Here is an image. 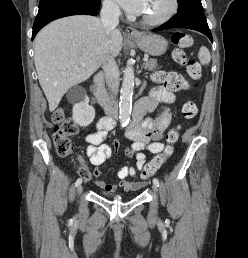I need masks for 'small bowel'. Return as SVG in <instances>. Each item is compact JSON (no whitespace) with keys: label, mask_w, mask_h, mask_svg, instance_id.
I'll return each instance as SVG.
<instances>
[{"label":"small bowel","mask_w":248,"mask_h":258,"mask_svg":"<svg viewBox=\"0 0 248 258\" xmlns=\"http://www.w3.org/2000/svg\"><path fill=\"white\" fill-rule=\"evenodd\" d=\"M172 74L180 77L179 74L172 72ZM181 78V77H180ZM174 100L172 92L165 88H158L152 94L139 101L136 106V111L132 122L126 128V137L132 142L133 154L136 159V168L142 170L149 162L148 156L144 153L145 150L150 155H158L164 149V144L161 139L164 137L166 129L171 119V113L163 110L156 118L143 119V114L152 112L161 104H168ZM114 121L110 118H101L96 125L97 131L86 136L87 154L91 164L94 166L102 165L111 155V148L105 143L108 132L114 128ZM94 175L98 178L101 173L99 170L94 171ZM136 169L134 167H123L118 172L120 182L115 184H108L97 179L95 185L107 192H113L120 187L125 191H134L140 187L137 182L127 181L128 176H135Z\"/></svg>","instance_id":"small-bowel-1"}]
</instances>
